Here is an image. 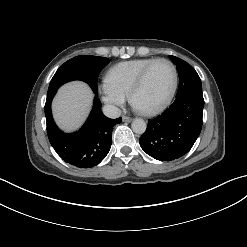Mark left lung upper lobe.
Wrapping results in <instances>:
<instances>
[{
  "mask_svg": "<svg viewBox=\"0 0 247 247\" xmlns=\"http://www.w3.org/2000/svg\"><path fill=\"white\" fill-rule=\"evenodd\" d=\"M169 58L176 64V68L179 74V87L177 94L194 89H201V80L195 69L184 60L178 57L170 55ZM176 94V95H177Z\"/></svg>",
  "mask_w": 247,
  "mask_h": 247,
  "instance_id": "5c2ea615",
  "label": "left lung upper lobe"
}]
</instances>
